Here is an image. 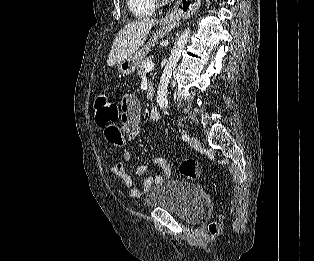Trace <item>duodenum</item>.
<instances>
[{"label": "duodenum", "instance_id": "obj_1", "mask_svg": "<svg viewBox=\"0 0 314 261\" xmlns=\"http://www.w3.org/2000/svg\"><path fill=\"white\" fill-rule=\"evenodd\" d=\"M150 118L153 121H158L160 118V113L156 105H152L149 110Z\"/></svg>", "mask_w": 314, "mask_h": 261}]
</instances>
